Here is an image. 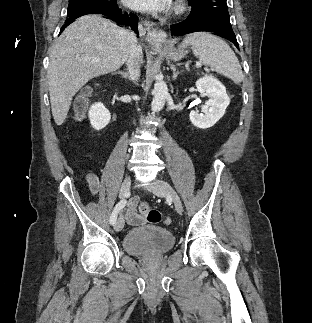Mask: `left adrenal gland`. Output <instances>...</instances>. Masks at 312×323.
<instances>
[{"mask_svg":"<svg viewBox=\"0 0 312 323\" xmlns=\"http://www.w3.org/2000/svg\"><path fill=\"white\" fill-rule=\"evenodd\" d=\"M170 68L173 72L172 80H176V78H177L178 74H180V72H177L174 64H170Z\"/></svg>","mask_w":312,"mask_h":323,"instance_id":"left-adrenal-gland-1","label":"left adrenal gland"}]
</instances>
